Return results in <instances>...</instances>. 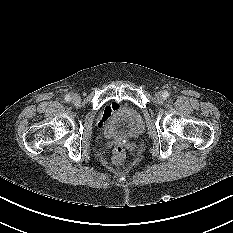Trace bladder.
<instances>
[{
	"label": "bladder",
	"instance_id": "31cf9c89",
	"mask_svg": "<svg viewBox=\"0 0 233 233\" xmlns=\"http://www.w3.org/2000/svg\"><path fill=\"white\" fill-rule=\"evenodd\" d=\"M103 134L111 139H128L143 134L144 120L131 106L120 107L101 128Z\"/></svg>",
	"mask_w": 233,
	"mask_h": 233
}]
</instances>
